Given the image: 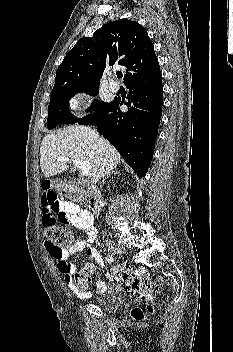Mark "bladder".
<instances>
[{"instance_id": "31cf9c89", "label": "bladder", "mask_w": 233, "mask_h": 352, "mask_svg": "<svg viewBox=\"0 0 233 352\" xmlns=\"http://www.w3.org/2000/svg\"><path fill=\"white\" fill-rule=\"evenodd\" d=\"M124 302L122 291L116 286L106 287L96 297V304L105 311L115 312Z\"/></svg>"}]
</instances>
